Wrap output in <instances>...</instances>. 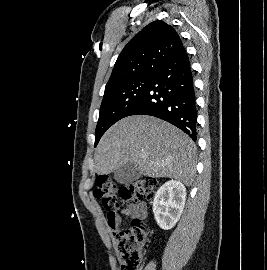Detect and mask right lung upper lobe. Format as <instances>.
<instances>
[{"label":"right lung upper lobe","mask_w":267,"mask_h":270,"mask_svg":"<svg viewBox=\"0 0 267 270\" xmlns=\"http://www.w3.org/2000/svg\"><path fill=\"white\" fill-rule=\"evenodd\" d=\"M182 47V41L172 26L161 20L148 24L118 56L105 90L134 78L154 76Z\"/></svg>","instance_id":"obj_1"}]
</instances>
